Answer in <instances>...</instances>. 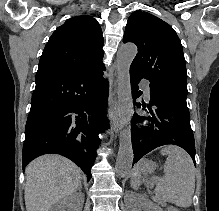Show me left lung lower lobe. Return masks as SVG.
I'll list each match as a JSON object with an SVG mask.
<instances>
[{"instance_id":"left-lung-lower-lobe-1","label":"left lung lower lobe","mask_w":219,"mask_h":211,"mask_svg":"<svg viewBox=\"0 0 219 211\" xmlns=\"http://www.w3.org/2000/svg\"><path fill=\"white\" fill-rule=\"evenodd\" d=\"M134 105L150 114L143 118L134 114L132 119V147L134 163L153 149L163 145H177L185 149L195 163V142L190 126V114L187 105L150 85V100L136 102L142 94L138 83L145 76L130 71ZM150 121L148 127L138 128L137 122Z\"/></svg>"}]
</instances>
